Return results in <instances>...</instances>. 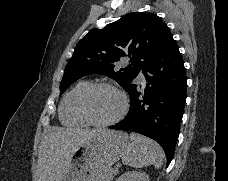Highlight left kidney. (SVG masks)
Instances as JSON below:
<instances>
[{"label":"left kidney","mask_w":228,"mask_h":181,"mask_svg":"<svg viewBox=\"0 0 228 181\" xmlns=\"http://www.w3.org/2000/svg\"><path fill=\"white\" fill-rule=\"evenodd\" d=\"M117 181H150L149 175L146 173H138V171H130V173H124Z\"/></svg>","instance_id":"obj_1"}]
</instances>
